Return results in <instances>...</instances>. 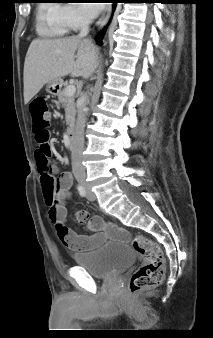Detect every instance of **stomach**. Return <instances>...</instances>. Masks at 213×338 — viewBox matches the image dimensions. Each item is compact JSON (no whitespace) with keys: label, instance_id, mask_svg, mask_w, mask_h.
I'll return each mask as SVG.
<instances>
[{"label":"stomach","instance_id":"1","mask_svg":"<svg viewBox=\"0 0 213 338\" xmlns=\"http://www.w3.org/2000/svg\"><path fill=\"white\" fill-rule=\"evenodd\" d=\"M62 83L63 81L61 78L50 81L49 83H47V86H46L47 92L52 95H56L59 92L62 86Z\"/></svg>","mask_w":213,"mask_h":338}]
</instances>
